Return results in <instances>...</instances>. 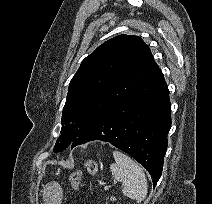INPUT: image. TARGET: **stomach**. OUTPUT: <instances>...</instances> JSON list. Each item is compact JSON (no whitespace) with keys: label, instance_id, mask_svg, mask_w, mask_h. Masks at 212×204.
I'll list each match as a JSON object with an SVG mask.
<instances>
[{"label":"stomach","instance_id":"obj_1","mask_svg":"<svg viewBox=\"0 0 212 204\" xmlns=\"http://www.w3.org/2000/svg\"><path fill=\"white\" fill-rule=\"evenodd\" d=\"M63 191L57 182H49L44 186L43 198L45 204H61Z\"/></svg>","mask_w":212,"mask_h":204}]
</instances>
